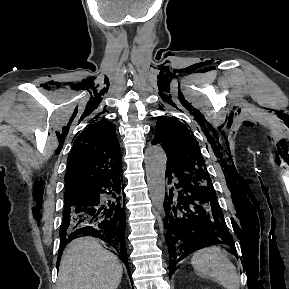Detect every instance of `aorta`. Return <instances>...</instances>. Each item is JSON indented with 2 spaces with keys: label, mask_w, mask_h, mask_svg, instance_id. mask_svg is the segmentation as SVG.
<instances>
[{
  "label": "aorta",
  "mask_w": 289,
  "mask_h": 289,
  "mask_svg": "<svg viewBox=\"0 0 289 289\" xmlns=\"http://www.w3.org/2000/svg\"><path fill=\"white\" fill-rule=\"evenodd\" d=\"M167 157L159 145H153L145 151V167L149 196L157 214H163L165 200V171Z\"/></svg>",
  "instance_id": "aorta-1"
}]
</instances>
